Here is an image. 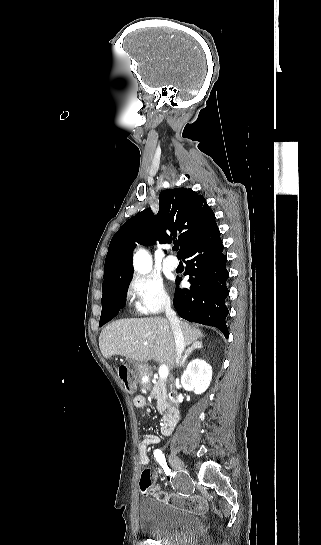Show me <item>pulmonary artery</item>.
I'll return each mask as SVG.
<instances>
[{
    "instance_id": "e3ab8cb5",
    "label": "pulmonary artery",
    "mask_w": 321,
    "mask_h": 545,
    "mask_svg": "<svg viewBox=\"0 0 321 545\" xmlns=\"http://www.w3.org/2000/svg\"><path fill=\"white\" fill-rule=\"evenodd\" d=\"M164 264L165 267L171 271L176 270L178 267V261L176 259H166Z\"/></svg>"
}]
</instances>
